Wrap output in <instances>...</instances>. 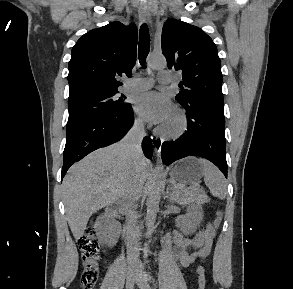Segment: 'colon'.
Here are the masks:
<instances>
[{
	"mask_svg": "<svg viewBox=\"0 0 293 289\" xmlns=\"http://www.w3.org/2000/svg\"><path fill=\"white\" fill-rule=\"evenodd\" d=\"M222 221V212L217 211L214 219V227H219ZM78 246L82 255L83 272L81 276L82 289H95L99 279V260H100V245L97 240V233L94 228H90L79 241ZM199 289H204L205 275L201 274L198 277Z\"/></svg>",
	"mask_w": 293,
	"mask_h": 289,
	"instance_id": "colon-1",
	"label": "colon"
}]
</instances>
